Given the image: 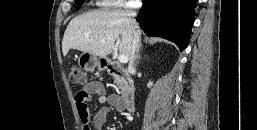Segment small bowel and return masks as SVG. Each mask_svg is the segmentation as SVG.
<instances>
[{"label": "small bowel", "instance_id": "c3829d8e", "mask_svg": "<svg viewBox=\"0 0 257 130\" xmlns=\"http://www.w3.org/2000/svg\"><path fill=\"white\" fill-rule=\"evenodd\" d=\"M92 96H97L101 104H109L118 110H122L121 96L118 94H107L103 84L97 81L88 82L75 94V104L83 130H102L109 115V108L102 107L91 118L88 102Z\"/></svg>", "mask_w": 257, "mask_h": 130}]
</instances>
